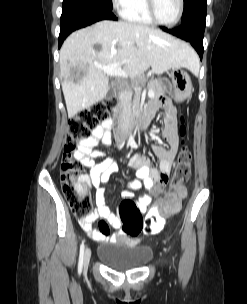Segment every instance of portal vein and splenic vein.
Listing matches in <instances>:
<instances>
[{
  "label": "portal vein and splenic vein",
  "mask_w": 247,
  "mask_h": 304,
  "mask_svg": "<svg viewBox=\"0 0 247 304\" xmlns=\"http://www.w3.org/2000/svg\"><path fill=\"white\" fill-rule=\"evenodd\" d=\"M100 68L109 76H122V77H128V74L121 69L119 63H114L111 65H106V66H100ZM148 96L149 97H154L155 93L153 90L148 91Z\"/></svg>",
  "instance_id": "portal-vein-and-splenic-vein-1"
}]
</instances>
